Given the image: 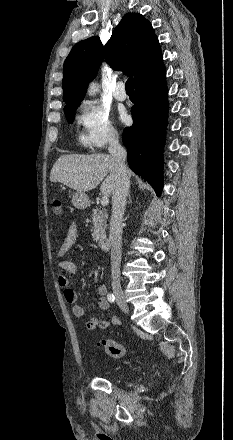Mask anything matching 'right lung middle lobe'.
Listing matches in <instances>:
<instances>
[{
	"label": "right lung middle lobe",
	"mask_w": 233,
	"mask_h": 440,
	"mask_svg": "<svg viewBox=\"0 0 233 440\" xmlns=\"http://www.w3.org/2000/svg\"><path fill=\"white\" fill-rule=\"evenodd\" d=\"M79 104L72 105L69 107L64 108V113L66 116V120L68 123H72L75 117V110L78 108Z\"/></svg>",
	"instance_id": "1"
}]
</instances>
